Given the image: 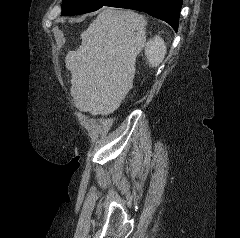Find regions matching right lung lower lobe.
<instances>
[{"label": "right lung lower lobe", "mask_w": 240, "mask_h": 238, "mask_svg": "<svg viewBox=\"0 0 240 238\" xmlns=\"http://www.w3.org/2000/svg\"><path fill=\"white\" fill-rule=\"evenodd\" d=\"M107 6L145 12L167 22L177 31L182 0H112Z\"/></svg>", "instance_id": "1"}]
</instances>
